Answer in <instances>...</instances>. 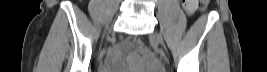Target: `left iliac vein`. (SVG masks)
<instances>
[{
  "mask_svg": "<svg viewBox=\"0 0 267 72\" xmlns=\"http://www.w3.org/2000/svg\"><path fill=\"white\" fill-rule=\"evenodd\" d=\"M150 38H151L152 40L157 41V42L160 43L162 46H164L163 39H162V37H161L158 33H154V34H152V35L150 36Z\"/></svg>",
  "mask_w": 267,
  "mask_h": 72,
  "instance_id": "obj_1",
  "label": "left iliac vein"
}]
</instances>
